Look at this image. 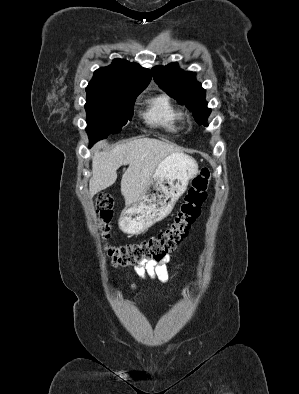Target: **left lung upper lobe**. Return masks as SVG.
Returning a JSON list of instances; mask_svg holds the SVG:
<instances>
[{
  "label": "left lung upper lobe",
  "mask_w": 299,
  "mask_h": 394,
  "mask_svg": "<svg viewBox=\"0 0 299 394\" xmlns=\"http://www.w3.org/2000/svg\"><path fill=\"white\" fill-rule=\"evenodd\" d=\"M152 75L161 89L193 112L199 125L207 126L211 109L207 108L205 90L196 81L195 73L184 72L177 63H171L153 67Z\"/></svg>",
  "instance_id": "1"
}]
</instances>
